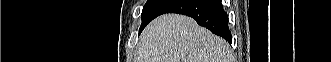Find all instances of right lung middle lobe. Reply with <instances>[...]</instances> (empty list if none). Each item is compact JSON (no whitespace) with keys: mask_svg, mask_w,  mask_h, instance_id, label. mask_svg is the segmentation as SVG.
<instances>
[{"mask_svg":"<svg viewBox=\"0 0 331 62\" xmlns=\"http://www.w3.org/2000/svg\"><path fill=\"white\" fill-rule=\"evenodd\" d=\"M174 1L175 0H147L142 10V24L140 30Z\"/></svg>","mask_w":331,"mask_h":62,"instance_id":"obj_1","label":"right lung middle lobe"}]
</instances>
